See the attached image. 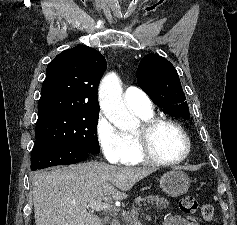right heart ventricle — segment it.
Wrapping results in <instances>:
<instances>
[{
	"label": "right heart ventricle",
	"mask_w": 237,
	"mask_h": 225,
	"mask_svg": "<svg viewBox=\"0 0 237 225\" xmlns=\"http://www.w3.org/2000/svg\"><path fill=\"white\" fill-rule=\"evenodd\" d=\"M132 111L134 114H136L143 121L153 118L152 110L148 113H141V112L134 111V110H132ZM125 137L127 138L128 142L130 143L131 152H130L129 157L127 158V160L124 163L128 164V165H136V164L143 162V159L140 157V155L138 153L137 145H136V142L134 139V134H128Z\"/></svg>",
	"instance_id": "1"
}]
</instances>
